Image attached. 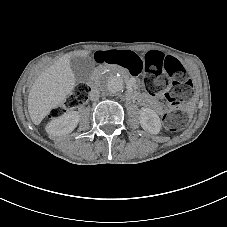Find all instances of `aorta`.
Instances as JSON below:
<instances>
[{
  "mask_svg": "<svg viewBox=\"0 0 227 227\" xmlns=\"http://www.w3.org/2000/svg\"><path fill=\"white\" fill-rule=\"evenodd\" d=\"M124 79L122 75L113 70L104 72L99 80L100 89L107 94H118L124 90Z\"/></svg>",
  "mask_w": 227,
  "mask_h": 227,
  "instance_id": "obj_1",
  "label": "aorta"
}]
</instances>
